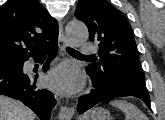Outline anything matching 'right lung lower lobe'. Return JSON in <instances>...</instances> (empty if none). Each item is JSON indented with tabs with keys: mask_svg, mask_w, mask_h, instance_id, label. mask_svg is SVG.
<instances>
[{
	"mask_svg": "<svg viewBox=\"0 0 165 120\" xmlns=\"http://www.w3.org/2000/svg\"><path fill=\"white\" fill-rule=\"evenodd\" d=\"M58 40L49 45L41 53L29 56L38 61L41 56L48 53L49 59L43 69H48L49 62L57 55ZM29 57L20 59L11 67L0 68V95H6L22 101L40 120H49L51 110L56 104L54 95L44 89L36 87V78L23 73V65Z\"/></svg>",
	"mask_w": 165,
	"mask_h": 120,
	"instance_id": "obj_1",
	"label": "right lung lower lobe"
}]
</instances>
